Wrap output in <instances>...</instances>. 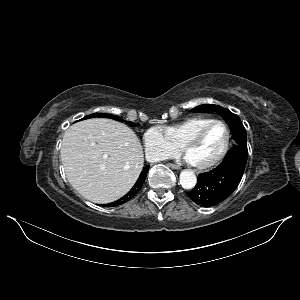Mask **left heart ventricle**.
<instances>
[{"label":"left heart ventricle","instance_id":"left-heart-ventricle-1","mask_svg":"<svg viewBox=\"0 0 300 300\" xmlns=\"http://www.w3.org/2000/svg\"><path fill=\"white\" fill-rule=\"evenodd\" d=\"M225 140V128L222 125H214L205 133L202 140L188 151L187 157L195 164L211 162L221 153Z\"/></svg>","mask_w":300,"mask_h":300}]
</instances>
